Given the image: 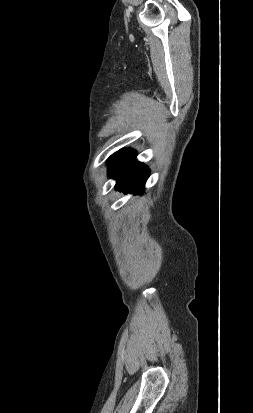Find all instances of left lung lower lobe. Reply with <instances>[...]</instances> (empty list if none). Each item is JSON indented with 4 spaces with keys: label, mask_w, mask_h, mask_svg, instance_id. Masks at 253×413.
Listing matches in <instances>:
<instances>
[{
    "label": "left lung lower lobe",
    "mask_w": 253,
    "mask_h": 413,
    "mask_svg": "<svg viewBox=\"0 0 253 413\" xmlns=\"http://www.w3.org/2000/svg\"><path fill=\"white\" fill-rule=\"evenodd\" d=\"M110 178L117 180L116 189L141 193L149 176V168L136 161V153L121 149L110 157L108 163Z\"/></svg>",
    "instance_id": "0a47b994"
}]
</instances>
